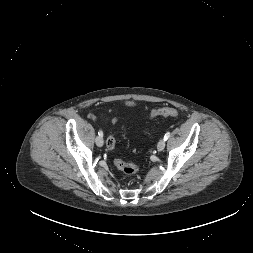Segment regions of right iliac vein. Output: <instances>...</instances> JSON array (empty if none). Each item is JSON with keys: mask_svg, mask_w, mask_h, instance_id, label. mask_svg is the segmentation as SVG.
I'll list each match as a JSON object with an SVG mask.
<instances>
[{"mask_svg": "<svg viewBox=\"0 0 253 253\" xmlns=\"http://www.w3.org/2000/svg\"><path fill=\"white\" fill-rule=\"evenodd\" d=\"M95 142H96V145L98 147H102L103 143H104L103 137L102 136H97Z\"/></svg>", "mask_w": 253, "mask_h": 253, "instance_id": "1", "label": "right iliac vein"}]
</instances>
